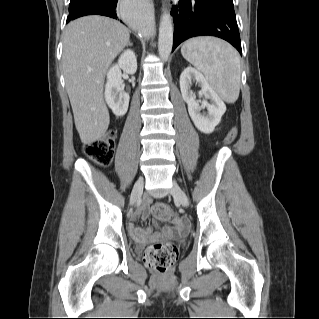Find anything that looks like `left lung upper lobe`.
I'll return each instance as SVG.
<instances>
[{"label": "left lung upper lobe", "instance_id": "left-lung-upper-lobe-1", "mask_svg": "<svg viewBox=\"0 0 319 319\" xmlns=\"http://www.w3.org/2000/svg\"><path fill=\"white\" fill-rule=\"evenodd\" d=\"M218 3H221L223 5H227V6H230V7H233V1L232 0H214Z\"/></svg>", "mask_w": 319, "mask_h": 319}]
</instances>
